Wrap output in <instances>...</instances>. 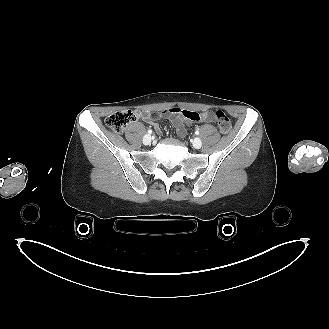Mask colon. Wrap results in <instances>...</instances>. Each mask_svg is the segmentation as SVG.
Segmentation results:
<instances>
[{
  "instance_id": "obj_1",
  "label": "colon",
  "mask_w": 329,
  "mask_h": 329,
  "mask_svg": "<svg viewBox=\"0 0 329 329\" xmlns=\"http://www.w3.org/2000/svg\"><path fill=\"white\" fill-rule=\"evenodd\" d=\"M137 118V113L131 110H122L111 113L105 118V126L112 132L120 134L125 128ZM215 119L221 133L227 134L231 130V122L228 116L218 110L215 112Z\"/></svg>"
}]
</instances>
